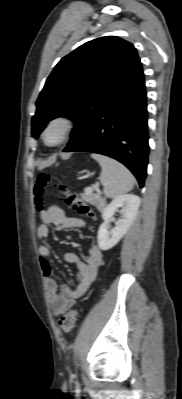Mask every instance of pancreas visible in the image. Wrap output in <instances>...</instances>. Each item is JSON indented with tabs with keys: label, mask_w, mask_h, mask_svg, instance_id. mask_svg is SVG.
<instances>
[{
	"label": "pancreas",
	"mask_w": 182,
	"mask_h": 399,
	"mask_svg": "<svg viewBox=\"0 0 182 399\" xmlns=\"http://www.w3.org/2000/svg\"><path fill=\"white\" fill-rule=\"evenodd\" d=\"M87 197L93 202V204L100 206L105 203V199L101 198L100 194H87Z\"/></svg>",
	"instance_id": "1"
}]
</instances>
